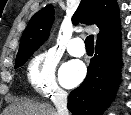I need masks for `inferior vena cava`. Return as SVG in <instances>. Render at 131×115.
I'll use <instances>...</instances> for the list:
<instances>
[{
	"label": "inferior vena cava",
	"instance_id": "obj_1",
	"mask_svg": "<svg viewBox=\"0 0 131 115\" xmlns=\"http://www.w3.org/2000/svg\"><path fill=\"white\" fill-rule=\"evenodd\" d=\"M53 103L57 109L58 115H69L67 109V93L60 91L53 97Z\"/></svg>",
	"mask_w": 131,
	"mask_h": 115
}]
</instances>
